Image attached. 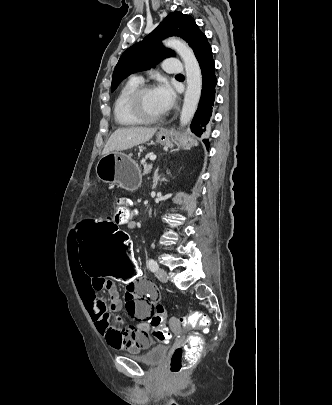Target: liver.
<instances>
[{
    "mask_svg": "<svg viewBox=\"0 0 332 405\" xmlns=\"http://www.w3.org/2000/svg\"><path fill=\"white\" fill-rule=\"evenodd\" d=\"M157 128L131 127L119 128L108 139L102 154L111 151L127 150L139 144L148 142L156 133Z\"/></svg>",
    "mask_w": 332,
    "mask_h": 405,
    "instance_id": "6515ba94",
    "label": "liver"
}]
</instances>
